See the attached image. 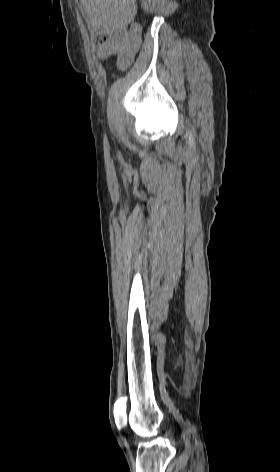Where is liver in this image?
<instances>
[{
  "label": "liver",
  "mask_w": 280,
  "mask_h": 472,
  "mask_svg": "<svg viewBox=\"0 0 280 472\" xmlns=\"http://www.w3.org/2000/svg\"><path fill=\"white\" fill-rule=\"evenodd\" d=\"M87 23L102 34L130 24L136 14V0H81Z\"/></svg>",
  "instance_id": "liver-1"
}]
</instances>
